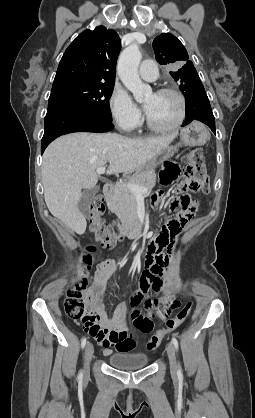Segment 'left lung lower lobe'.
Returning a JSON list of instances; mask_svg holds the SVG:
<instances>
[{"mask_svg": "<svg viewBox=\"0 0 255 418\" xmlns=\"http://www.w3.org/2000/svg\"><path fill=\"white\" fill-rule=\"evenodd\" d=\"M193 120L205 123L215 133V119L205 90L186 96V120L182 126Z\"/></svg>", "mask_w": 255, "mask_h": 418, "instance_id": "1", "label": "left lung lower lobe"}]
</instances>
